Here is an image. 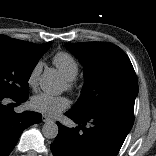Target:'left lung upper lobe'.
<instances>
[{
	"instance_id": "1",
	"label": "left lung upper lobe",
	"mask_w": 156,
	"mask_h": 156,
	"mask_svg": "<svg viewBox=\"0 0 156 156\" xmlns=\"http://www.w3.org/2000/svg\"><path fill=\"white\" fill-rule=\"evenodd\" d=\"M66 48L84 65L85 83L73 112H92L118 107L134 112L138 83L125 52L103 42L66 43Z\"/></svg>"
}]
</instances>
